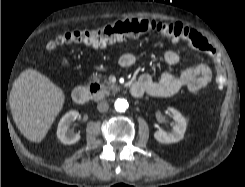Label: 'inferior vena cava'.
Listing matches in <instances>:
<instances>
[{
	"instance_id": "1",
	"label": "inferior vena cava",
	"mask_w": 245,
	"mask_h": 187,
	"mask_svg": "<svg viewBox=\"0 0 245 187\" xmlns=\"http://www.w3.org/2000/svg\"><path fill=\"white\" fill-rule=\"evenodd\" d=\"M97 109L101 113L107 112L109 109V104L105 100L100 101L97 105Z\"/></svg>"
}]
</instances>
